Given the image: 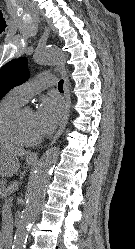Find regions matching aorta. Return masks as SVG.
Segmentation results:
<instances>
[{"instance_id":"obj_1","label":"aorta","mask_w":135,"mask_h":249,"mask_svg":"<svg viewBox=\"0 0 135 249\" xmlns=\"http://www.w3.org/2000/svg\"><path fill=\"white\" fill-rule=\"evenodd\" d=\"M34 58L42 65H64L63 52L56 46L37 49ZM59 147H52L40 158L26 191V206L22 211L14 236L12 249H25L29 230L40 212L51 172L57 163Z\"/></svg>"}]
</instances>
